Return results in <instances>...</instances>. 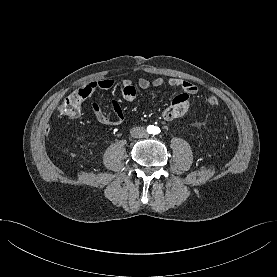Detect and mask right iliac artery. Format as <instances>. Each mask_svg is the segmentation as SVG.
Here are the masks:
<instances>
[{"label":"right iliac artery","mask_w":277,"mask_h":277,"mask_svg":"<svg viewBox=\"0 0 277 277\" xmlns=\"http://www.w3.org/2000/svg\"><path fill=\"white\" fill-rule=\"evenodd\" d=\"M147 131H148L149 133H151V132L153 131V127H152V126H149V127L147 128Z\"/></svg>","instance_id":"right-iliac-artery-1"}]
</instances>
